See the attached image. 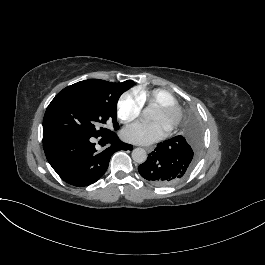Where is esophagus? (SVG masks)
Returning <instances> with one entry per match:
<instances>
[{
	"label": "esophagus",
	"mask_w": 265,
	"mask_h": 265,
	"mask_svg": "<svg viewBox=\"0 0 265 265\" xmlns=\"http://www.w3.org/2000/svg\"><path fill=\"white\" fill-rule=\"evenodd\" d=\"M146 150H147L148 152H151V151H152V148H146Z\"/></svg>",
	"instance_id": "esophagus-1"
}]
</instances>
